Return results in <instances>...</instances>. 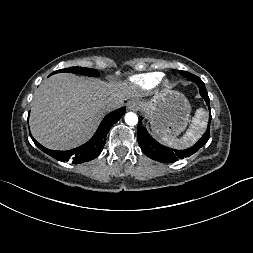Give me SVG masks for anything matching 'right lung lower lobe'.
Listing matches in <instances>:
<instances>
[{"label":"right lung lower lobe","instance_id":"1","mask_svg":"<svg viewBox=\"0 0 253 253\" xmlns=\"http://www.w3.org/2000/svg\"><path fill=\"white\" fill-rule=\"evenodd\" d=\"M122 107L108 114L101 122L94 136L84 145L69 151H54L43 147L32 136L35 145L43 152L60 161H71L74 164L83 163L96 158L104 148L106 136L110 128L125 114Z\"/></svg>","mask_w":253,"mask_h":253}]
</instances>
